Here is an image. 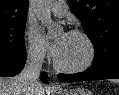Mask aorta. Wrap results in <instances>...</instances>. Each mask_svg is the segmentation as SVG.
Segmentation results:
<instances>
[{
	"mask_svg": "<svg viewBox=\"0 0 119 95\" xmlns=\"http://www.w3.org/2000/svg\"><path fill=\"white\" fill-rule=\"evenodd\" d=\"M53 0H36L35 12L39 21L45 25L49 36L55 35L61 30V26L51 19V6Z\"/></svg>",
	"mask_w": 119,
	"mask_h": 95,
	"instance_id": "obj_1",
	"label": "aorta"
}]
</instances>
